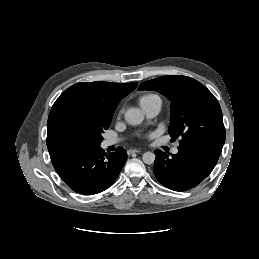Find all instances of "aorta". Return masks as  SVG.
<instances>
[{
  "label": "aorta",
  "instance_id": "obj_1",
  "mask_svg": "<svg viewBox=\"0 0 259 259\" xmlns=\"http://www.w3.org/2000/svg\"><path fill=\"white\" fill-rule=\"evenodd\" d=\"M144 115L139 109L130 108L125 112V120L130 125H139L143 122ZM142 160L145 164H153L155 154L153 152H145L142 155Z\"/></svg>",
  "mask_w": 259,
  "mask_h": 259
}]
</instances>
